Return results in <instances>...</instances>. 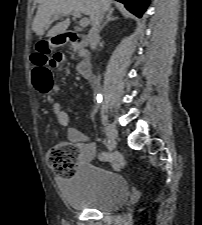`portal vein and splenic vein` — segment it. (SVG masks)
Wrapping results in <instances>:
<instances>
[{
  "mask_svg": "<svg viewBox=\"0 0 202 225\" xmlns=\"http://www.w3.org/2000/svg\"><path fill=\"white\" fill-rule=\"evenodd\" d=\"M73 17H78V18H81L80 19V22H79V24H80V26L81 27H87L88 26V24H89V19L87 18V17H82L81 16V13H79V12H72V13H70ZM59 18V15H55L54 16V19H58Z\"/></svg>",
  "mask_w": 202,
  "mask_h": 225,
  "instance_id": "portal-vein-and-splenic-vein-1",
  "label": "portal vein and splenic vein"
}]
</instances>
